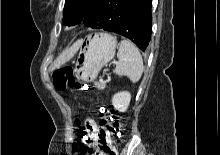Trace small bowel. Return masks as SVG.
Here are the masks:
<instances>
[{"label": "small bowel", "instance_id": "1", "mask_svg": "<svg viewBox=\"0 0 220 155\" xmlns=\"http://www.w3.org/2000/svg\"><path fill=\"white\" fill-rule=\"evenodd\" d=\"M82 129L88 130L87 134H81V135L90 136V144H87V146H89L95 141L99 131V126L92 119H87Z\"/></svg>", "mask_w": 220, "mask_h": 155}]
</instances>
